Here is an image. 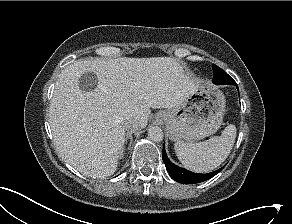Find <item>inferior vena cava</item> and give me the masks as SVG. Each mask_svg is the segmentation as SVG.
<instances>
[{
  "mask_svg": "<svg viewBox=\"0 0 292 224\" xmlns=\"http://www.w3.org/2000/svg\"><path fill=\"white\" fill-rule=\"evenodd\" d=\"M121 125L124 130L129 132H134L139 128V124L133 118H126L121 122Z\"/></svg>",
  "mask_w": 292,
  "mask_h": 224,
  "instance_id": "inferior-vena-cava-1",
  "label": "inferior vena cava"
}]
</instances>
